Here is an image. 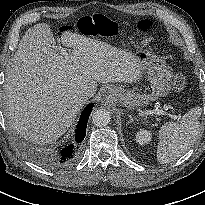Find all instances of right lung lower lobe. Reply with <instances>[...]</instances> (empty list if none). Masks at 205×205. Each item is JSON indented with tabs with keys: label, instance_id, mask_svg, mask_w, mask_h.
<instances>
[{
	"label": "right lung lower lobe",
	"instance_id": "obj_1",
	"mask_svg": "<svg viewBox=\"0 0 205 205\" xmlns=\"http://www.w3.org/2000/svg\"><path fill=\"white\" fill-rule=\"evenodd\" d=\"M93 106H94L93 104L86 106V108L83 110L80 116V120L76 127V136H75L76 146L72 144L69 145L65 149L61 150L59 156H54L49 158L43 155H39L37 156V160H39L43 164H46L49 167H56V168L66 167L74 163L77 156V149H78L77 144L82 142V140L86 135L87 122Z\"/></svg>",
	"mask_w": 205,
	"mask_h": 205
}]
</instances>
